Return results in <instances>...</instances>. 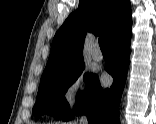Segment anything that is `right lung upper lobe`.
I'll return each mask as SVG.
<instances>
[{
    "instance_id": "obj_1",
    "label": "right lung upper lobe",
    "mask_w": 156,
    "mask_h": 124,
    "mask_svg": "<svg viewBox=\"0 0 156 124\" xmlns=\"http://www.w3.org/2000/svg\"><path fill=\"white\" fill-rule=\"evenodd\" d=\"M129 0H80L56 32L42 78L53 76L83 63L82 49L87 32L105 33L108 43L131 29Z\"/></svg>"
}]
</instances>
